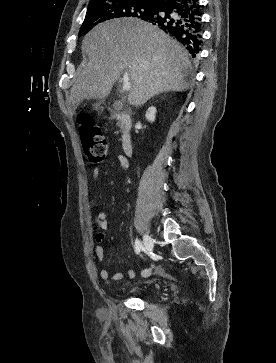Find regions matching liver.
I'll list each match as a JSON object with an SVG mask.
<instances>
[{
	"label": "liver",
	"mask_w": 276,
	"mask_h": 363,
	"mask_svg": "<svg viewBox=\"0 0 276 363\" xmlns=\"http://www.w3.org/2000/svg\"><path fill=\"white\" fill-rule=\"evenodd\" d=\"M88 62L70 93V105L103 100L115 81L128 75L130 105L163 92L185 91L193 67L188 52L163 31L136 18H119L94 27L82 42Z\"/></svg>",
	"instance_id": "6515ba94"
}]
</instances>
